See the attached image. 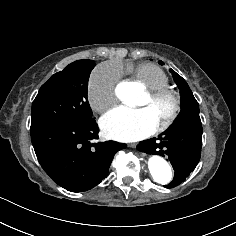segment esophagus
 <instances>
[{"instance_id":"esophagus-1","label":"esophagus","mask_w":236,"mask_h":236,"mask_svg":"<svg viewBox=\"0 0 236 236\" xmlns=\"http://www.w3.org/2000/svg\"><path fill=\"white\" fill-rule=\"evenodd\" d=\"M129 147L135 148L136 144H130Z\"/></svg>"}]
</instances>
